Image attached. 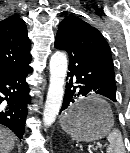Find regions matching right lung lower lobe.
<instances>
[{
  "instance_id": "right-lung-lower-lobe-1",
  "label": "right lung lower lobe",
  "mask_w": 130,
  "mask_h": 153,
  "mask_svg": "<svg viewBox=\"0 0 130 153\" xmlns=\"http://www.w3.org/2000/svg\"><path fill=\"white\" fill-rule=\"evenodd\" d=\"M32 68L0 72V124L11 129L21 140L25 129L29 87L25 80Z\"/></svg>"
}]
</instances>
